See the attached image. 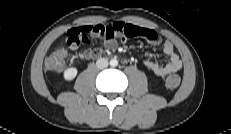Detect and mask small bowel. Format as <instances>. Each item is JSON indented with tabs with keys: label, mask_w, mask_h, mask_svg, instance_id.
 Returning <instances> with one entry per match:
<instances>
[{
	"label": "small bowel",
	"mask_w": 231,
	"mask_h": 134,
	"mask_svg": "<svg viewBox=\"0 0 231 134\" xmlns=\"http://www.w3.org/2000/svg\"><path fill=\"white\" fill-rule=\"evenodd\" d=\"M127 41L143 37L153 44L161 45L163 52L169 56L168 62L160 64L154 60L146 59L145 66L158 76H166L182 69V61L176 53L174 45L164 40L156 31L139 27L133 24L116 21L106 25L96 24L71 28L66 34V44L70 50H76L80 43L89 44L93 39H103L104 47L112 50L117 46V38ZM100 49H84L80 52L81 59H90L101 54Z\"/></svg>",
	"instance_id": "c3829d8e"
}]
</instances>
